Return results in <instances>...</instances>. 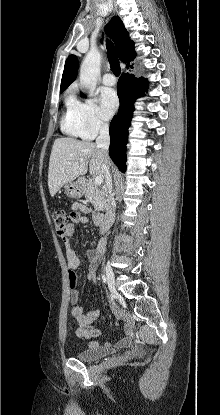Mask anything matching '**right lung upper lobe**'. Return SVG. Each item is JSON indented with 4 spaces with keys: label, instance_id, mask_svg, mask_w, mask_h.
<instances>
[{
    "label": "right lung upper lobe",
    "instance_id": "obj_1",
    "mask_svg": "<svg viewBox=\"0 0 220 415\" xmlns=\"http://www.w3.org/2000/svg\"><path fill=\"white\" fill-rule=\"evenodd\" d=\"M105 32L113 39L119 58L124 63L127 62L129 64L135 58L136 53L134 52V42L130 40L129 34L121 19L118 16L113 17L106 25ZM77 71V57L71 55L65 62L60 91H64L76 79Z\"/></svg>",
    "mask_w": 220,
    "mask_h": 415
}]
</instances>
